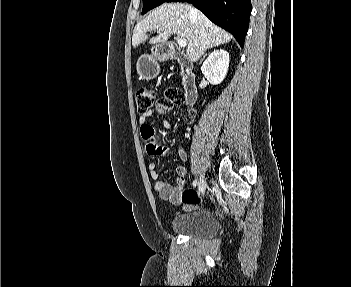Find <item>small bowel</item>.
I'll return each instance as SVG.
<instances>
[{"label":"small bowel","instance_id":"obj_1","mask_svg":"<svg viewBox=\"0 0 351 287\" xmlns=\"http://www.w3.org/2000/svg\"><path fill=\"white\" fill-rule=\"evenodd\" d=\"M154 115V112L149 110L139 116L140 133H142V141L146 145L143 146V152H148L149 156L169 157L171 155L170 149L157 141V132H154V122H147ZM188 118L192 119L193 115L189 114ZM162 126L165 129H172L174 127L168 120H162ZM178 155L182 160L187 159V153L183 147L178 148ZM148 169L151 178L155 181L154 188L159 197L169 200L176 205L181 204V192L186 185L187 168L183 165H179L176 168L177 179L175 186L160 179L156 162L151 161L148 164Z\"/></svg>","mask_w":351,"mask_h":287}]
</instances>
